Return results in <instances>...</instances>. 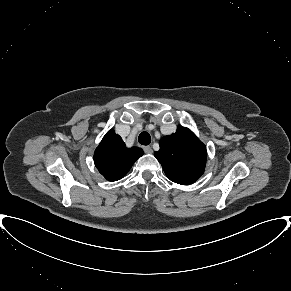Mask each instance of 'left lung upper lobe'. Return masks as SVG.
I'll use <instances>...</instances> for the list:
<instances>
[{
    "label": "left lung upper lobe",
    "instance_id": "5c2ea615",
    "mask_svg": "<svg viewBox=\"0 0 291 291\" xmlns=\"http://www.w3.org/2000/svg\"><path fill=\"white\" fill-rule=\"evenodd\" d=\"M160 150L154 156L171 181L189 185L204 173L206 147L192 131L181 125L176 133L160 140Z\"/></svg>",
    "mask_w": 291,
    "mask_h": 291
}]
</instances>
